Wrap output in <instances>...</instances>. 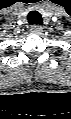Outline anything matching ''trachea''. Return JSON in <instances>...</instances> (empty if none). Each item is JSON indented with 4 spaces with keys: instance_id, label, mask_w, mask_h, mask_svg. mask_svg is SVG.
<instances>
[{
    "instance_id": "3493384b",
    "label": "trachea",
    "mask_w": 71,
    "mask_h": 119,
    "mask_svg": "<svg viewBox=\"0 0 71 119\" xmlns=\"http://www.w3.org/2000/svg\"><path fill=\"white\" fill-rule=\"evenodd\" d=\"M27 19H28V22L30 24H36V25H42L43 24V19H42V16L41 14L34 10V11H30L28 13V16H27Z\"/></svg>"
}]
</instances>
